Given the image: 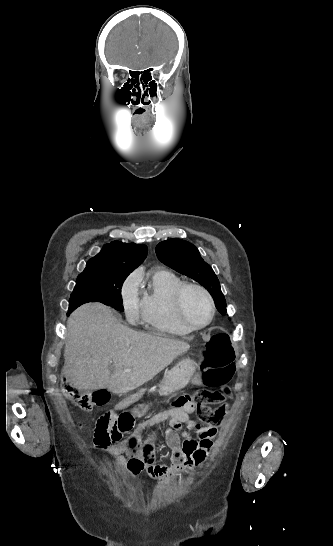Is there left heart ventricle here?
<instances>
[{
	"mask_svg": "<svg viewBox=\"0 0 333 546\" xmlns=\"http://www.w3.org/2000/svg\"><path fill=\"white\" fill-rule=\"evenodd\" d=\"M184 310L187 318L196 325L205 323L210 316V307L205 296L194 289L189 290L184 298Z\"/></svg>",
	"mask_w": 333,
	"mask_h": 546,
	"instance_id": "1",
	"label": "left heart ventricle"
}]
</instances>
